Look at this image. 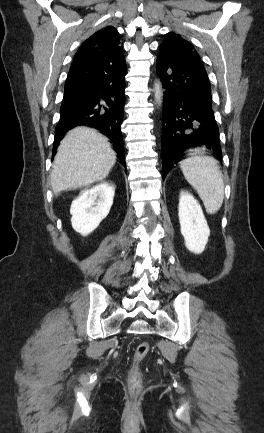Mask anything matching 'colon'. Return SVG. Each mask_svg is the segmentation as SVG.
I'll return each mask as SVG.
<instances>
[{
	"label": "colon",
	"mask_w": 264,
	"mask_h": 433,
	"mask_svg": "<svg viewBox=\"0 0 264 433\" xmlns=\"http://www.w3.org/2000/svg\"><path fill=\"white\" fill-rule=\"evenodd\" d=\"M150 351V345L147 342H141L137 345L134 356L133 364L129 371V381L133 387H139L141 384V371L140 363L147 356Z\"/></svg>",
	"instance_id": "5ec220e1"
}]
</instances>
